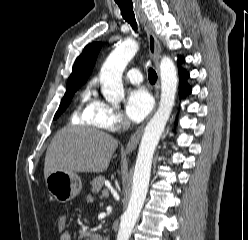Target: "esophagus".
<instances>
[{"instance_id": "esophagus-1", "label": "esophagus", "mask_w": 248, "mask_h": 240, "mask_svg": "<svg viewBox=\"0 0 248 240\" xmlns=\"http://www.w3.org/2000/svg\"><path fill=\"white\" fill-rule=\"evenodd\" d=\"M136 11L137 14L141 20V22L144 25V29L147 33V37H148V43H149V51L150 54L152 55L154 62L156 64L157 69H159V59H160V53H161V45L158 41V39L156 38L155 34L153 33L150 25L146 22V19L143 15V12L141 10V8L137 5L136 6ZM159 90H160V84L159 81L156 84V88H155V107L154 110L156 109L157 103H158V99H159ZM144 126L145 124H142L137 131L131 136V138L129 139L125 151L127 153L132 152L133 150L136 149L137 145L139 144L140 138L142 136V132L144 130Z\"/></svg>"}]
</instances>
